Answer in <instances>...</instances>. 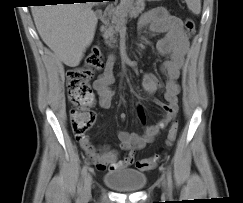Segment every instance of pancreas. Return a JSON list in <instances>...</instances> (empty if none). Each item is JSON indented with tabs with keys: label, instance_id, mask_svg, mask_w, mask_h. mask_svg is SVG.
I'll return each instance as SVG.
<instances>
[{
	"label": "pancreas",
	"instance_id": "obj_1",
	"mask_svg": "<svg viewBox=\"0 0 243 203\" xmlns=\"http://www.w3.org/2000/svg\"><path fill=\"white\" fill-rule=\"evenodd\" d=\"M143 0H121L120 4L111 11V22H105L102 28L103 37L110 47L117 42V35L120 27L126 22L127 16L138 17L144 11Z\"/></svg>",
	"mask_w": 243,
	"mask_h": 203
}]
</instances>
